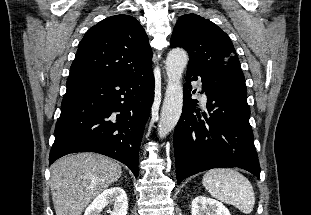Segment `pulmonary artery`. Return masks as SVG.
Listing matches in <instances>:
<instances>
[{"instance_id":"1","label":"pulmonary artery","mask_w":311,"mask_h":215,"mask_svg":"<svg viewBox=\"0 0 311 215\" xmlns=\"http://www.w3.org/2000/svg\"><path fill=\"white\" fill-rule=\"evenodd\" d=\"M197 87H198V90H199V91H202L201 85H198ZM202 98H203V99H206L205 93H202Z\"/></svg>"}]
</instances>
